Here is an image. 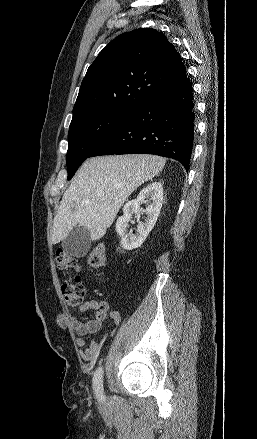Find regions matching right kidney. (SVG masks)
I'll list each match as a JSON object with an SVG mask.
<instances>
[{"instance_id":"right-kidney-1","label":"right kidney","mask_w":257,"mask_h":439,"mask_svg":"<svg viewBox=\"0 0 257 439\" xmlns=\"http://www.w3.org/2000/svg\"><path fill=\"white\" fill-rule=\"evenodd\" d=\"M163 202V187L160 182H152L143 188L135 200L128 201L123 207V216L119 217L116 222V232L121 237V245L125 250H133L141 246L153 229L160 213ZM147 203L146 210L140 205ZM145 212L147 218L145 222H138L136 234L132 230L128 232V224L135 214Z\"/></svg>"}]
</instances>
